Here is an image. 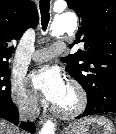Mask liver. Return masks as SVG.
I'll use <instances>...</instances> for the list:
<instances>
[{
    "label": "liver",
    "instance_id": "6515ba94",
    "mask_svg": "<svg viewBox=\"0 0 116 134\" xmlns=\"http://www.w3.org/2000/svg\"><path fill=\"white\" fill-rule=\"evenodd\" d=\"M0 134H20L19 130L5 121H0Z\"/></svg>",
    "mask_w": 116,
    "mask_h": 134
}]
</instances>
